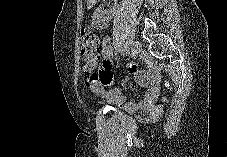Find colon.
<instances>
[{"label":"colon","instance_id":"obj_1","mask_svg":"<svg viewBox=\"0 0 227 157\" xmlns=\"http://www.w3.org/2000/svg\"><path fill=\"white\" fill-rule=\"evenodd\" d=\"M81 53L84 61V71L92 73L98 66V37L88 28L81 30ZM95 77V73L91 75L88 82ZM169 86V83H167Z\"/></svg>","mask_w":227,"mask_h":157}]
</instances>
